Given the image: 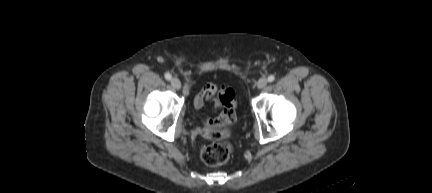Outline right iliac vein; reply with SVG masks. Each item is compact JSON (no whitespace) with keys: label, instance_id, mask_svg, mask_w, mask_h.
<instances>
[{"label":"right iliac vein","instance_id":"1","mask_svg":"<svg viewBox=\"0 0 432 193\" xmlns=\"http://www.w3.org/2000/svg\"><path fill=\"white\" fill-rule=\"evenodd\" d=\"M171 86L175 89V90H180L181 88V82L178 78L174 77L171 79Z\"/></svg>","mask_w":432,"mask_h":193}]
</instances>
